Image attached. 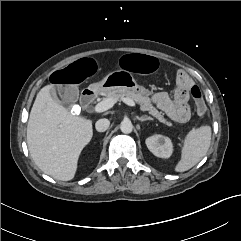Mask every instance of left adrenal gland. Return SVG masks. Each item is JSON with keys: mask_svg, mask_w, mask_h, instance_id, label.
I'll return each mask as SVG.
<instances>
[{"mask_svg": "<svg viewBox=\"0 0 241 241\" xmlns=\"http://www.w3.org/2000/svg\"><path fill=\"white\" fill-rule=\"evenodd\" d=\"M137 119L141 122H145L147 120H153L151 117L147 116V115H144L142 117H137Z\"/></svg>", "mask_w": 241, "mask_h": 241, "instance_id": "left-adrenal-gland-1", "label": "left adrenal gland"}]
</instances>
